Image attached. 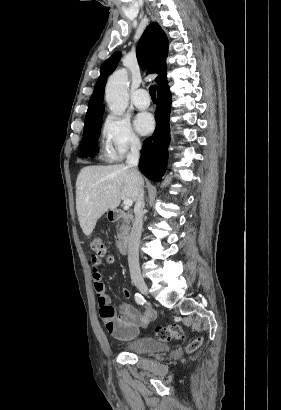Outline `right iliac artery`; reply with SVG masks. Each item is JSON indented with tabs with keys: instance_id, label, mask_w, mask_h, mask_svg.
Returning a JSON list of instances; mask_svg holds the SVG:
<instances>
[{
	"instance_id": "right-iliac-artery-1",
	"label": "right iliac artery",
	"mask_w": 281,
	"mask_h": 410,
	"mask_svg": "<svg viewBox=\"0 0 281 410\" xmlns=\"http://www.w3.org/2000/svg\"><path fill=\"white\" fill-rule=\"evenodd\" d=\"M135 301H136L137 304L143 305L144 302H145V299H144V297H143L141 294L136 293V294H135Z\"/></svg>"
}]
</instances>
